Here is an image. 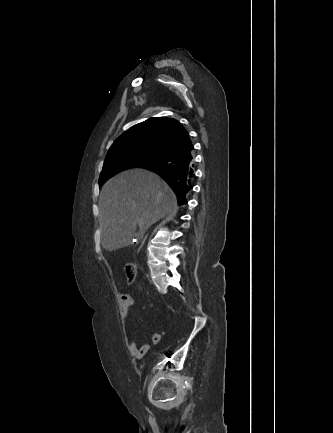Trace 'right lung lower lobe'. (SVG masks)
<instances>
[{
  "instance_id": "98d812e1",
  "label": "right lung lower lobe",
  "mask_w": 333,
  "mask_h": 433,
  "mask_svg": "<svg viewBox=\"0 0 333 433\" xmlns=\"http://www.w3.org/2000/svg\"><path fill=\"white\" fill-rule=\"evenodd\" d=\"M159 174L176 192L179 205L187 203L186 194L193 188L194 155L193 145L184 147L168 154L161 161L147 166Z\"/></svg>"
}]
</instances>
